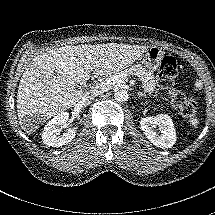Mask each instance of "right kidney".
I'll list each match as a JSON object with an SVG mask.
<instances>
[{
    "mask_svg": "<svg viewBox=\"0 0 215 215\" xmlns=\"http://www.w3.org/2000/svg\"><path fill=\"white\" fill-rule=\"evenodd\" d=\"M69 113L61 112L53 117L44 127L42 132V141L45 145L51 147H60L71 142L76 135V130L69 128L62 135L60 132L67 128L69 123Z\"/></svg>",
    "mask_w": 215,
    "mask_h": 215,
    "instance_id": "1",
    "label": "right kidney"
}]
</instances>
